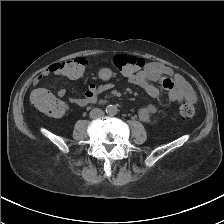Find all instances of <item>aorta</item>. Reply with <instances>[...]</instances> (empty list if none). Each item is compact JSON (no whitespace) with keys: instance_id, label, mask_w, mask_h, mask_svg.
Instances as JSON below:
<instances>
[{"instance_id":"762f6f07","label":"aorta","mask_w":224,"mask_h":224,"mask_svg":"<svg viewBox=\"0 0 224 224\" xmlns=\"http://www.w3.org/2000/svg\"><path fill=\"white\" fill-rule=\"evenodd\" d=\"M117 112H118V109L115 105H109L106 107V113L108 115L114 116L117 114Z\"/></svg>"}]
</instances>
